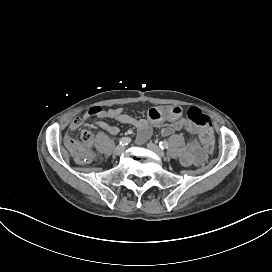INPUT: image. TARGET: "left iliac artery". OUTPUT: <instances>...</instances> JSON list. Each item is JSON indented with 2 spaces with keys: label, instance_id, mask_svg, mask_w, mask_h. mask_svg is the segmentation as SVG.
<instances>
[{
  "label": "left iliac artery",
  "instance_id": "1",
  "mask_svg": "<svg viewBox=\"0 0 272 272\" xmlns=\"http://www.w3.org/2000/svg\"><path fill=\"white\" fill-rule=\"evenodd\" d=\"M159 147L163 150V149H168V147H169V144H168V142H166V141H161L160 143H159Z\"/></svg>",
  "mask_w": 272,
  "mask_h": 272
}]
</instances>
